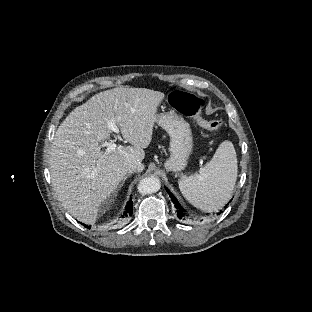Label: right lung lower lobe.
<instances>
[{"mask_svg": "<svg viewBox=\"0 0 312 312\" xmlns=\"http://www.w3.org/2000/svg\"><path fill=\"white\" fill-rule=\"evenodd\" d=\"M133 212V202L130 200L125 208V211L122 215V217H128L132 214ZM87 228H90V226H86Z\"/></svg>", "mask_w": 312, "mask_h": 312, "instance_id": "98d812e1", "label": "right lung lower lobe"}]
</instances>
